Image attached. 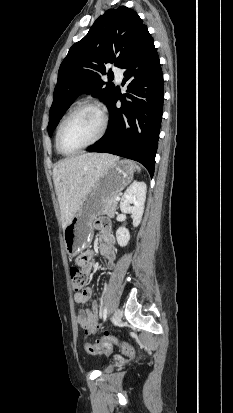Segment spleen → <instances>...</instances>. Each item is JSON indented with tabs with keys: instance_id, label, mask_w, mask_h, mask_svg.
<instances>
[{
	"instance_id": "spleen-1",
	"label": "spleen",
	"mask_w": 233,
	"mask_h": 413,
	"mask_svg": "<svg viewBox=\"0 0 233 413\" xmlns=\"http://www.w3.org/2000/svg\"><path fill=\"white\" fill-rule=\"evenodd\" d=\"M135 167L137 168V170L140 172L141 168L139 165L135 164Z\"/></svg>"
}]
</instances>
